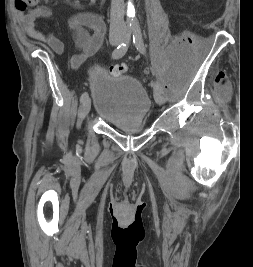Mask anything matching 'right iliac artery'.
Here are the masks:
<instances>
[{
	"label": "right iliac artery",
	"instance_id": "right-iliac-artery-1",
	"mask_svg": "<svg viewBox=\"0 0 253 267\" xmlns=\"http://www.w3.org/2000/svg\"><path fill=\"white\" fill-rule=\"evenodd\" d=\"M128 42L125 41L123 43H121L120 45H118L116 47V49L113 51L112 53V58L113 59H119L121 57H123L127 50H128ZM88 97V93L87 92H84L81 97H80V102H84V100Z\"/></svg>",
	"mask_w": 253,
	"mask_h": 267
}]
</instances>
